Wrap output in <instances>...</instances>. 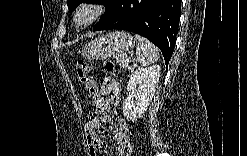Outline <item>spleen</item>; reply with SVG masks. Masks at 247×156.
I'll return each mask as SVG.
<instances>
[{"label":"spleen","mask_w":247,"mask_h":156,"mask_svg":"<svg viewBox=\"0 0 247 156\" xmlns=\"http://www.w3.org/2000/svg\"><path fill=\"white\" fill-rule=\"evenodd\" d=\"M136 47V62L142 66L155 63L159 58L158 48L153 45L148 39L134 35Z\"/></svg>","instance_id":"1"}]
</instances>
